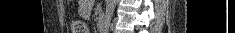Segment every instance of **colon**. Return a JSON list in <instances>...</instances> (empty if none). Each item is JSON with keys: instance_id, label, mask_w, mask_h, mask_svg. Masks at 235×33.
Here are the masks:
<instances>
[{"instance_id": "1", "label": "colon", "mask_w": 235, "mask_h": 33, "mask_svg": "<svg viewBox=\"0 0 235 33\" xmlns=\"http://www.w3.org/2000/svg\"><path fill=\"white\" fill-rule=\"evenodd\" d=\"M72 33H89V28L84 21L75 20L72 23Z\"/></svg>"}]
</instances>
